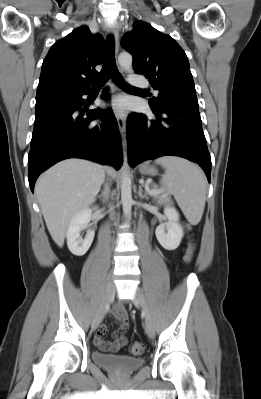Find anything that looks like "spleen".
Returning <instances> with one entry per match:
<instances>
[{
    "label": "spleen",
    "mask_w": 261,
    "mask_h": 399,
    "mask_svg": "<svg viewBox=\"0 0 261 399\" xmlns=\"http://www.w3.org/2000/svg\"><path fill=\"white\" fill-rule=\"evenodd\" d=\"M165 168L162 188L174 196L190 224L200 222L206 197V178L194 163L180 157L165 156L155 160Z\"/></svg>",
    "instance_id": "1"
}]
</instances>
